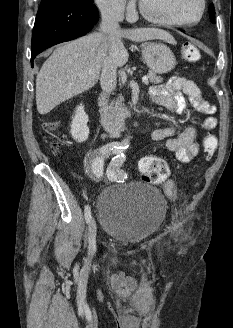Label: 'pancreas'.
Returning a JSON list of instances; mask_svg holds the SVG:
<instances>
[{
    "instance_id": "obj_1",
    "label": "pancreas",
    "mask_w": 233,
    "mask_h": 328,
    "mask_svg": "<svg viewBox=\"0 0 233 328\" xmlns=\"http://www.w3.org/2000/svg\"><path fill=\"white\" fill-rule=\"evenodd\" d=\"M147 77L149 81L153 84H160L163 82V78L161 76H158L155 72L149 71L147 74ZM124 98L120 95L118 99L111 102L110 106L107 108V110L111 113L113 117H116L118 114H120L124 104Z\"/></svg>"
}]
</instances>
